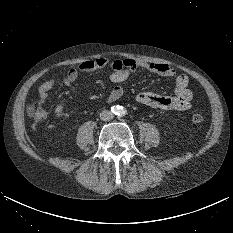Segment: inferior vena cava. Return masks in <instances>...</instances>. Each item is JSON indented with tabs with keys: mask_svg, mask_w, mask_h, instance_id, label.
<instances>
[{
	"mask_svg": "<svg viewBox=\"0 0 233 233\" xmlns=\"http://www.w3.org/2000/svg\"><path fill=\"white\" fill-rule=\"evenodd\" d=\"M114 117L113 113L109 110H104L100 113V119L103 121L112 120Z\"/></svg>",
	"mask_w": 233,
	"mask_h": 233,
	"instance_id": "obj_1",
	"label": "inferior vena cava"
}]
</instances>
